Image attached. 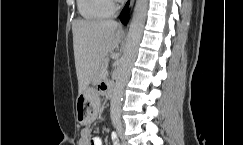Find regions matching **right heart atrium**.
Masks as SVG:
<instances>
[{"mask_svg": "<svg viewBox=\"0 0 243 145\" xmlns=\"http://www.w3.org/2000/svg\"><path fill=\"white\" fill-rule=\"evenodd\" d=\"M114 1H116V0H111L112 3H113Z\"/></svg>", "mask_w": 243, "mask_h": 145, "instance_id": "d8ad5b80", "label": "right heart atrium"}]
</instances>
